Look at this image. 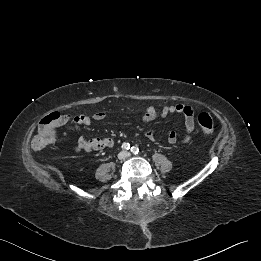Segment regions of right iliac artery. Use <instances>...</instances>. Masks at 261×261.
<instances>
[{"label":"right iliac artery","instance_id":"1","mask_svg":"<svg viewBox=\"0 0 261 261\" xmlns=\"http://www.w3.org/2000/svg\"><path fill=\"white\" fill-rule=\"evenodd\" d=\"M122 149L123 150H129L130 149V144L129 143H123L122 144Z\"/></svg>","mask_w":261,"mask_h":261}]
</instances>
